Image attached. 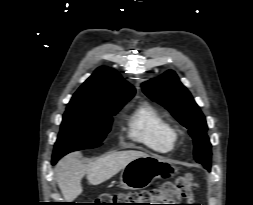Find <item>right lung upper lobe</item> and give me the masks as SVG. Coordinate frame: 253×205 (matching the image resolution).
Masks as SVG:
<instances>
[{"instance_id": "cb5924a9", "label": "right lung upper lobe", "mask_w": 253, "mask_h": 205, "mask_svg": "<svg viewBox=\"0 0 253 205\" xmlns=\"http://www.w3.org/2000/svg\"><path fill=\"white\" fill-rule=\"evenodd\" d=\"M135 89L115 70L99 67L76 91L67 108L97 110L121 99L132 98Z\"/></svg>"}]
</instances>
